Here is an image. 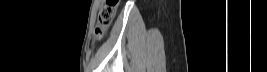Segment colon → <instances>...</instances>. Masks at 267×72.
<instances>
[{
    "label": "colon",
    "instance_id": "obj_1",
    "mask_svg": "<svg viewBox=\"0 0 267 72\" xmlns=\"http://www.w3.org/2000/svg\"><path fill=\"white\" fill-rule=\"evenodd\" d=\"M117 4L118 0H107L99 9L97 26L94 31V34L97 38H100L103 35L104 31L111 24L115 16Z\"/></svg>",
    "mask_w": 267,
    "mask_h": 72
}]
</instances>
